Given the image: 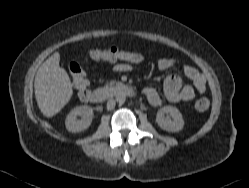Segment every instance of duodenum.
I'll use <instances>...</instances> for the list:
<instances>
[{"mask_svg":"<svg viewBox=\"0 0 249 188\" xmlns=\"http://www.w3.org/2000/svg\"><path fill=\"white\" fill-rule=\"evenodd\" d=\"M118 95L132 96L134 95V90L129 85L116 84L113 86L97 88L93 91H90L87 93L86 99L91 103H101L113 96Z\"/></svg>","mask_w":249,"mask_h":188,"instance_id":"duodenum-1","label":"duodenum"}]
</instances>
